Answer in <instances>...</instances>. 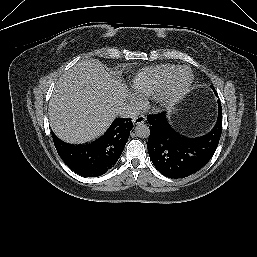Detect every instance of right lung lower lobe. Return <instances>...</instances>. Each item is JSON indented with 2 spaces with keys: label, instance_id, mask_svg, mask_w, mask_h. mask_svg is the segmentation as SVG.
<instances>
[{
  "label": "right lung lower lobe",
  "instance_id": "right-lung-lower-lobe-1",
  "mask_svg": "<svg viewBox=\"0 0 257 257\" xmlns=\"http://www.w3.org/2000/svg\"><path fill=\"white\" fill-rule=\"evenodd\" d=\"M133 123L130 118H116L97 140L85 145H71L52 132L56 150L64 163L84 177H98L110 170L128 141Z\"/></svg>",
  "mask_w": 257,
  "mask_h": 257
}]
</instances>
